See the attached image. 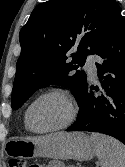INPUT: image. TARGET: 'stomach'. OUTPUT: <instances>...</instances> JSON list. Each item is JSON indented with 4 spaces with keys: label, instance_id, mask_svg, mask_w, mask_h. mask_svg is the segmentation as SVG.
Returning a JSON list of instances; mask_svg holds the SVG:
<instances>
[{
    "label": "stomach",
    "instance_id": "stomach-1",
    "mask_svg": "<svg viewBox=\"0 0 125 167\" xmlns=\"http://www.w3.org/2000/svg\"><path fill=\"white\" fill-rule=\"evenodd\" d=\"M9 144L13 147L11 153L21 158L84 161L90 160L96 153L95 142L83 132H60L35 138L13 139Z\"/></svg>",
    "mask_w": 125,
    "mask_h": 167
}]
</instances>
